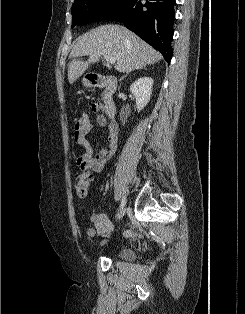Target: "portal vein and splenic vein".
Listing matches in <instances>:
<instances>
[{"instance_id":"obj_1","label":"portal vein and splenic vein","mask_w":245,"mask_h":314,"mask_svg":"<svg viewBox=\"0 0 245 314\" xmlns=\"http://www.w3.org/2000/svg\"><path fill=\"white\" fill-rule=\"evenodd\" d=\"M104 59L107 61V63H110V64H114L116 62V58L115 57H111V56H108V55H104Z\"/></svg>"}]
</instances>
